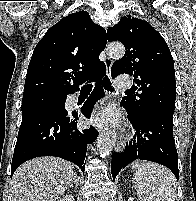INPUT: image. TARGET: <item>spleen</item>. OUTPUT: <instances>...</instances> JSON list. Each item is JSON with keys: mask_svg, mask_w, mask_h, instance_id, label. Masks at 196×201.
I'll use <instances>...</instances> for the list:
<instances>
[{"mask_svg": "<svg viewBox=\"0 0 196 201\" xmlns=\"http://www.w3.org/2000/svg\"><path fill=\"white\" fill-rule=\"evenodd\" d=\"M132 170L140 201H175L176 179L170 170L152 162H135Z\"/></svg>", "mask_w": 196, "mask_h": 201, "instance_id": "1", "label": "spleen"}]
</instances>
